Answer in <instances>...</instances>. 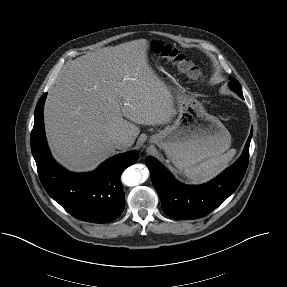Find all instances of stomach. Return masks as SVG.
I'll return each instance as SVG.
<instances>
[{
    "label": "stomach",
    "instance_id": "1",
    "mask_svg": "<svg viewBox=\"0 0 287 287\" xmlns=\"http://www.w3.org/2000/svg\"><path fill=\"white\" fill-rule=\"evenodd\" d=\"M169 91L177 102V118L152 135L150 143L162 149L179 170L218 157L230 148L231 135L216 116L184 91L172 88Z\"/></svg>",
    "mask_w": 287,
    "mask_h": 287
}]
</instances>
